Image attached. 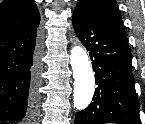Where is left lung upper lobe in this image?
<instances>
[{
    "label": "left lung upper lobe",
    "mask_w": 145,
    "mask_h": 124,
    "mask_svg": "<svg viewBox=\"0 0 145 124\" xmlns=\"http://www.w3.org/2000/svg\"><path fill=\"white\" fill-rule=\"evenodd\" d=\"M75 9L86 13L95 22L125 35L115 0H80Z\"/></svg>",
    "instance_id": "obj_1"
}]
</instances>
